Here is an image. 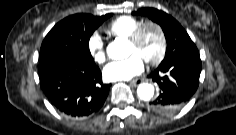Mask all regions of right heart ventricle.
<instances>
[{"mask_svg":"<svg viewBox=\"0 0 236 135\" xmlns=\"http://www.w3.org/2000/svg\"><path fill=\"white\" fill-rule=\"evenodd\" d=\"M143 23L141 19L124 15L111 21L106 26V31L114 37L129 39L135 29Z\"/></svg>","mask_w":236,"mask_h":135,"instance_id":"1","label":"right heart ventricle"}]
</instances>
